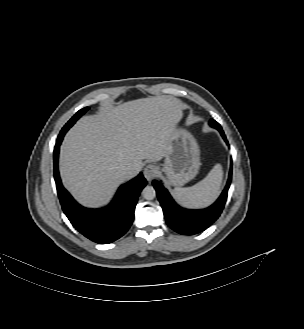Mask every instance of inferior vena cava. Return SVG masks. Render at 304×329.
Segmentation results:
<instances>
[{"instance_id":"602c4592","label":"inferior vena cava","mask_w":304,"mask_h":329,"mask_svg":"<svg viewBox=\"0 0 304 329\" xmlns=\"http://www.w3.org/2000/svg\"><path fill=\"white\" fill-rule=\"evenodd\" d=\"M133 168L130 165H122L119 168V171L121 173V175L123 176H127L132 172Z\"/></svg>"}]
</instances>
